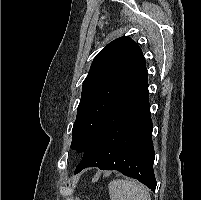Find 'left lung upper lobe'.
<instances>
[{
  "instance_id": "left-lung-upper-lobe-1",
  "label": "left lung upper lobe",
  "mask_w": 201,
  "mask_h": 200,
  "mask_svg": "<svg viewBox=\"0 0 201 200\" xmlns=\"http://www.w3.org/2000/svg\"><path fill=\"white\" fill-rule=\"evenodd\" d=\"M141 48L123 36L94 58L82 86L71 148L84 153L108 114L147 77Z\"/></svg>"
}]
</instances>
